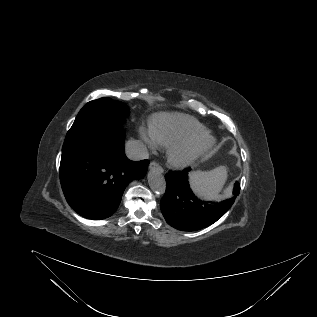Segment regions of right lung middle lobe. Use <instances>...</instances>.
I'll return each mask as SVG.
<instances>
[{"mask_svg": "<svg viewBox=\"0 0 317 317\" xmlns=\"http://www.w3.org/2000/svg\"><path fill=\"white\" fill-rule=\"evenodd\" d=\"M128 115V107L125 104L110 98L88 102L68 131L62 154L75 150L101 129H122V123Z\"/></svg>", "mask_w": 317, "mask_h": 317, "instance_id": "dd1d6c3e", "label": "right lung middle lobe"}]
</instances>
